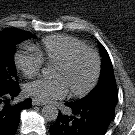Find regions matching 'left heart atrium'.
I'll return each mask as SVG.
<instances>
[{
	"label": "left heart atrium",
	"instance_id": "1",
	"mask_svg": "<svg viewBox=\"0 0 135 135\" xmlns=\"http://www.w3.org/2000/svg\"><path fill=\"white\" fill-rule=\"evenodd\" d=\"M26 91L42 102H50L64 97L68 92V88L65 82L59 78L53 80L40 79L29 83Z\"/></svg>",
	"mask_w": 135,
	"mask_h": 135
}]
</instances>
